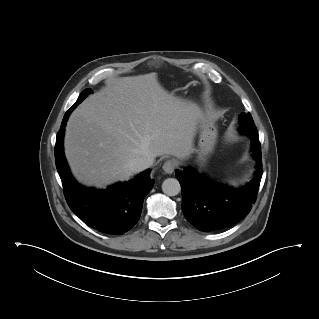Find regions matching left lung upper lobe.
<instances>
[{"instance_id": "left-lung-upper-lobe-1", "label": "left lung upper lobe", "mask_w": 319, "mask_h": 319, "mask_svg": "<svg viewBox=\"0 0 319 319\" xmlns=\"http://www.w3.org/2000/svg\"><path fill=\"white\" fill-rule=\"evenodd\" d=\"M239 122L241 126L249 127V128H256L253 122L252 116L250 113H241L239 115Z\"/></svg>"}]
</instances>
